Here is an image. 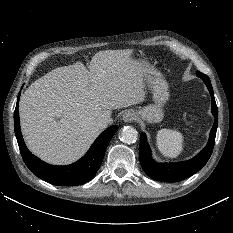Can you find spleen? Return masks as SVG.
Returning a JSON list of instances; mask_svg holds the SVG:
<instances>
[{"label": "spleen", "instance_id": "1", "mask_svg": "<svg viewBox=\"0 0 233 233\" xmlns=\"http://www.w3.org/2000/svg\"><path fill=\"white\" fill-rule=\"evenodd\" d=\"M157 147L167 158H177L183 151V135L170 129H161L157 133Z\"/></svg>", "mask_w": 233, "mask_h": 233}]
</instances>
